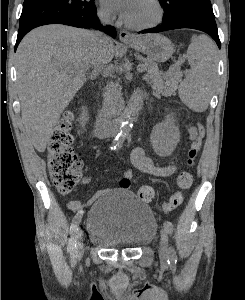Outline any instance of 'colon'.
<instances>
[{
	"mask_svg": "<svg viewBox=\"0 0 245 300\" xmlns=\"http://www.w3.org/2000/svg\"><path fill=\"white\" fill-rule=\"evenodd\" d=\"M72 114H64L60 123L51 134L48 143V170L52 182L59 193L68 194L80 182L82 162L72 148ZM205 135L203 124H198V135L192 143L186 160L187 168L183 169L177 177L179 190L170 200L164 204V210L170 212L183 202V191L189 189L193 183V175L190 168L194 165L195 158L200 151L202 140ZM138 198L143 202H150L154 198V189L151 186H141L137 190Z\"/></svg>",
	"mask_w": 245,
	"mask_h": 300,
	"instance_id": "1",
	"label": "colon"
}]
</instances>
